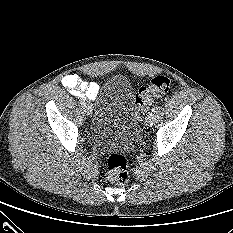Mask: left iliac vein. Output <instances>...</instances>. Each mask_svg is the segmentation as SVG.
Listing matches in <instances>:
<instances>
[{"instance_id":"obj_1","label":"left iliac vein","mask_w":233,"mask_h":233,"mask_svg":"<svg viewBox=\"0 0 233 233\" xmlns=\"http://www.w3.org/2000/svg\"><path fill=\"white\" fill-rule=\"evenodd\" d=\"M155 120V112L150 111L146 116V125L152 126Z\"/></svg>"}]
</instances>
